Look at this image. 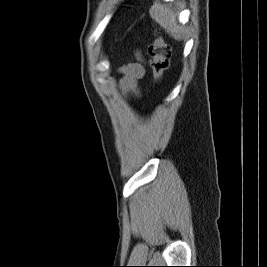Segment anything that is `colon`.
<instances>
[{
	"instance_id": "colon-1",
	"label": "colon",
	"mask_w": 267,
	"mask_h": 267,
	"mask_svg": "<svg viewBox=\"0 0 267 267\" xmlns=\"http://www.w3.org/2000/svg\"><path fill=\"white\" fill-rule=\"evenodd\" d=\"M150 64L154 79L159 82L165 71L169 68L171 57V46L161 36H157L148 47Z\"/></svg>"
}]
</instances>
